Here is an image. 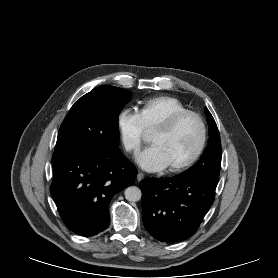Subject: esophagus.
<instances>
[{
  "instance_id": "esophagus-1",
  "label": "esophagus",
  "mask_w": 278,
  "mask_h": 278,
  "mask_svg": "<svg viewBox=\"0 0 278 278\" xmlns=\"http://www.w3.org/2000/svg\"><path fill=\"white\" fill-rule=\"evenodd\" d=\"M145 177V175L142 172H138L137 174V181L140 182L141 180H143Z\"/></svg>"
}]
</instances>
